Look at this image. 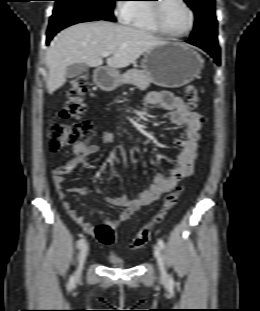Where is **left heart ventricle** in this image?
I'll list each match as a JSON object with an SVG mask.
<instances>
[{"mask_svg":"<svg viewBox=\"0 0 260 311\" xmlns=\"http://www.w3.org/2000/svg\"><path fill=\"white\" fill-rule=\"evenodd\" d=\"M161 16L165 28L173 33H182L189 27V13L179 0H164Z\"/></svg>","mask_w":260,"mask_h":311,"instance_id":"1","label":"left heart ventricle"}]
</instances>
